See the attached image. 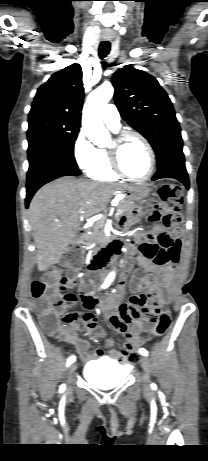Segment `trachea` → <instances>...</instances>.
I'll return each mask as SVG.
<instances>
[{"mask_svg":"<svg viewBox=\"0 0 208 461\" xmlns=\"http://www.w3.org/2000/svg\"><path fill=\"white\" fill-rule=\"evenodd\" d=\"M110 52V43L102 42L99 46V56L104 59Z\"/></svg>","mask_w":208,"mask_h":461,"instance_id":"obj_1","label":"trachea"}]
</instances>
